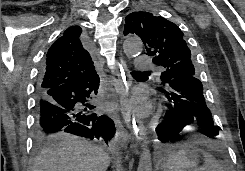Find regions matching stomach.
Masks as SVG:
<instances>
[{
	"mask_svg": "<svg viewBox=\"0 0 245 171\" xmlns=\"http://www.w3.org/2000/svg\"><path fill=\"white\" fill-rule=\"evenodd\" d=\"M198 165V158L192 148L180 149L171 153L165 163L166 171H191Z\"/></svg>",
	"mask_w": 245,
	"mask_h": 171,
	"instance_id": "1",
	"label": "stomach"
}]
</instances>
